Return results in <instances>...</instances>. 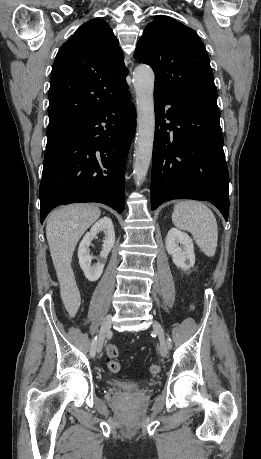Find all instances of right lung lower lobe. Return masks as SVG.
<instances>
[{
	"instance_id": "1",
	"label": "right lung lower lobe",
	"mask_w": 261,
	"mask_h": 459,
	"mask_svg": "<svg viewBox=\"0 0 261 459\" xmlns=\"http://www.w3.org/2000/svg\"><path fill=\"white\" fill-rule=\"evenodd\" d=\"M128 89L47 147L40 183V219L61 204L99 202L122 213L124 172L135 133Z\"/></svg>"
}]
</instances>
